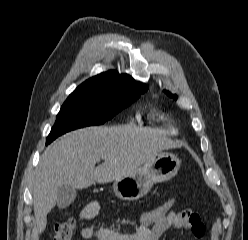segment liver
Instances as JSON below:
<instances>
[{
    "instance_id": "6515ba94",
    "label": "liver",
    "mask_w": 248,
    "mask_h": 240,
    "mask_svg": "<svg viewBox=\"0 0 248 240\" xmlns=\"http://www.w3.org/2000/svg\"><path fill=\"white\" fill-rule=\"evenodd\" d=\"M178 145L161 134L135 126H94L62 136L43 152L33 187L38 233L56 205L62 185L84 189L95 183L119 180L153 159L160 151ZM103 159L104 162L95 167Z\"/></svg>"
}]
</instances>
